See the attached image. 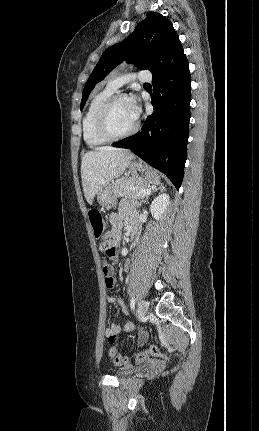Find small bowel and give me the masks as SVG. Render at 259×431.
Listing matches in <instances>:
<instances>
[{
  "label": "small bowel",
  "instance_id": "1",
  "mask_svg": "<svg viewBox=\"0 0 259 431\" xmlns=\"http://www.w3.org/2000/svg\"><path fill=\"white\" fill-rule=\"evenodd\" d=\"M126 208L123 207L120 213H113L110 215L109 222H110V229L105 235V238L108 239L113 245H117L118 240L121 236L122 232V222L126 215ZM131 267V262L127 260L124 264V269L128 271ZM103 273L105 276V285L108 288H112L115 283V277L113 276V268L108 265L103 267ZM108 301L111 303L117 302L119 305L124 308L123 302L117 300L116 298L109 296ZM135 329V324L133 322H129L124 326H118V325H111L106 330V335L109 336L110 334H122V333H131Z\"/></svg>",
  "mask_w": 259,
  "mask_h": 431
}]
</instances>
